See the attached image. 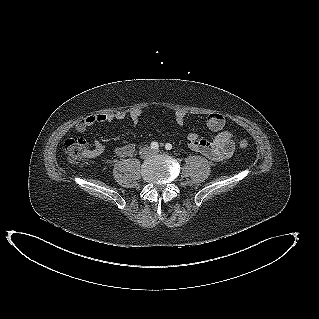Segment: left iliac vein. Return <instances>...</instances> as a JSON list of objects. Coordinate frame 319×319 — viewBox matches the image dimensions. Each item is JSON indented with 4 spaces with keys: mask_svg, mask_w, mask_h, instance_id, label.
Wrapping results in <instances>:
<instances>
[{
    "mask_svg": "<svg viewBox=\"0 0 319 319\" xmlns=\"http://www.w3.org/2000/svg\"><path fill=\"white\" fill-rule=\"evenodd\" d=\"M159 152V150H153L154 154H157Z\"/></svg>",
    "mask_w": 319,
    "mask_h": 319,
    "instance_id": "left-iliac-vein-1",
    "label": "left iliac vein"
}]
</instances>
